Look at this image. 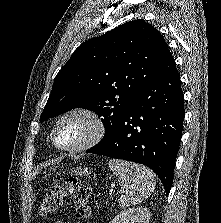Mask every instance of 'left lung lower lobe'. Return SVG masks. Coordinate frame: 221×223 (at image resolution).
I'll use <instances>...</instances> for the list:
<instances>
[{
  "mask_svg": "<svg viewBox=\"0 0 221 223\" xmlns=\"http://www.w3.org/2000/svg\"><path fill=\"white\" fill-rule=\"evenodd\" d=\"M184 116L180 76L169 51L159 73L136 96L113 133L86 152L148 166L168 195Z\"/></svg>",
  "mask_w": 221,
  "mask_h": 223,
  "instance_id": "obj_1",
  "label": "left lung lower lobe"
}]
</instances>
